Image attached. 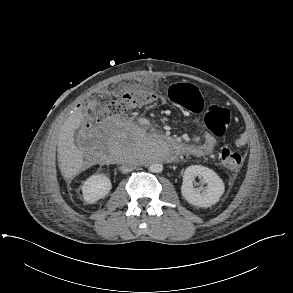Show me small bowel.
Masks as SVG:
<instances>
[{"mask_svg": "<svg viewBox=\"0 0 293 293\" xmlns=\"http://www.w3.org/2000/svg\"><path fill=\"white\" fill-rule=\"evenodd\" d=\"M142 124L147 125V122L143 121ZM235 143L238 146L244 145L245 137L243 135L239 136ZM215 145L216 139L211 134H205L201 140L197 139L195 143L189 144L185 153L195 156H206L212 153Z\"/></svg>", "mask_w": 293, "mask_h": 293, "instance_id": "obj_1", "label": "small bowel"}]
</instances>
